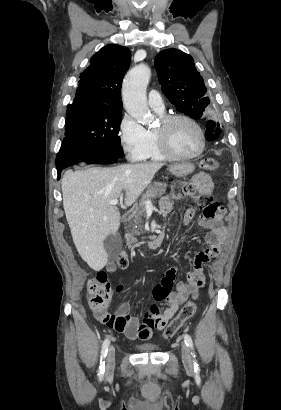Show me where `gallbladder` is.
Wrapping results in <instances>:
<instances>
[{
    "instance_id": "1",
    "label": "gallbladder",
    "mask_w": 281,
    "mask_h": 410,
    "mask_svg": "<svg viewBox=\"0 0 281 410\" xmlns=\"http://www.w3.org/2000/svg\"><path fill=\"white\" fill-rule=\"evenodd\" d=\"M121 248L122 243L118 235H110L104 240V249L108 254V260L110 262L116 260Z\"/></svg>"
}]
</instances>
